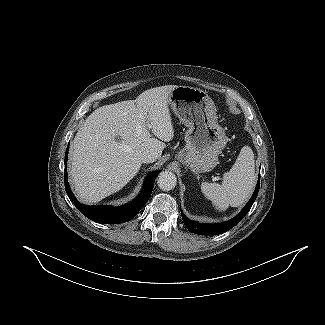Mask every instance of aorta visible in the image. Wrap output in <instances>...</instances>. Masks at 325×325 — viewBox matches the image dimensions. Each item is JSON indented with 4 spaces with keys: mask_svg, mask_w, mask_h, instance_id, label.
<instances>
[{
    "mask_svg": "<svg viewBox=\"0 0 325 325\" xmlns=\"http://www.w3.org/2000/svg\"><path fill=\"white\" fill-rule=\"evenodd\" d=\"M177 183V178L175 174L171 171H162L157 177V184L159 188L163 191H170L175 188Z\"/></svg>",
    "mask_w": 325,
    "mask_h": 325,
    "instance_id": "obj_1",
    "label": "aorta"
}]
</instances>
